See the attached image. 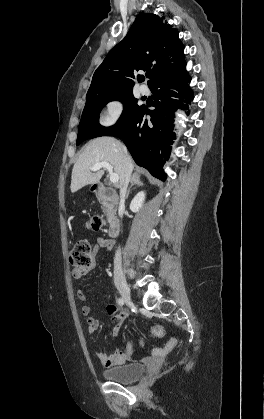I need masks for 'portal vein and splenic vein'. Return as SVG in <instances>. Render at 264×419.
<instances>
[{"label": "portal vein and splenic vein", "mask_w": 264, "mask_h": 419, "mask_svg": "<svg viewBox=\"0 0 264 419\" xmlns=\"http://www.w3.org/2000/svg\"><path fill=\"white\" fill-rule=\"evenodd\" d=\"M101 168L107 169V171L109 172V175H110V182L111 183H113V184L118 183L119 176H118V174H116V173L113 172V167L108 162H99V163H96L91 168V171H94L95 172V171L100 170Z\"/></svg>", "instance_id": "1"}]
</instances>
